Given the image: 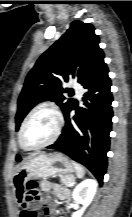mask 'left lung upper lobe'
<instances>
[{
  "label": "left lung upper lobe",
  "instance_id": "left-lung-upper-lobe-1",
  "mask_svg": "<svg viewBox=\"0 0 132 217\" xmlns=\"http://www.w3.org/2000/svg\"><path fill=\"white\" fill-rule=\"evenodd\" d=\"M94 30L91 24L73 21L66 33L37 60L18 98L16 130L39 102L55 101L63 114L73 106V99L65 101L63 94L69 89H63L62 82L77 78L83 85L104 62V53Z\"/></svg>",
  "mask_w": 132,
  "mask_h": 217
}]
</instances>
